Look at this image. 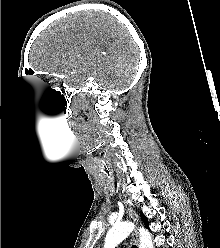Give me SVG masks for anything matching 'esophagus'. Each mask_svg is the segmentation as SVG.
I'll list each match as a JSON object with an SVG mask.
<instances>
[{
    "label": "esophagus",
    "instance_id": "esophagus-1",
    "mask_svg": "<svg viewBox=\"0 0 220 248\" xmlns=\"http://www.w3.org/2000/svg\"><path fill=\"white\" fill-rule=\"evenodd\" d=\"M128 211H129L130 217L133 218L134 222H138L137 216H136V214L134 213V211H133L131 208H128ZM133 236H134V239L136 240V242H137V244H138V243H139L138 233L135 232V233L133 234Z\"/></svg>",
    "mask_w": 220,
    "mask_h": 248
}]
</instances>
